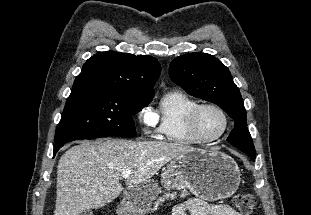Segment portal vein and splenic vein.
Instances as JSON below:
<instances>
[{
    "label": "portal vein and splenic vein",
    "instance_id": "portal-vein-and-splenic-vein-1",
    "mask_svg": "<svg viewBox=\"0 0 311 215\" xmlns=\"http://www.w3.org/2000/svg\"><path fill=\"white\" fill-rule=\"evenodd\" d=\"M132 172L130 170H124L121 174V176L125 179L129 178Z\"/></svg>",
    "mask_w": 311,
    "mask_h": 215
}]
</instances>
